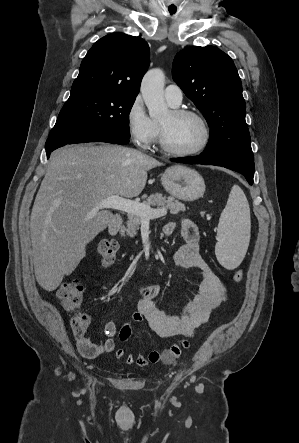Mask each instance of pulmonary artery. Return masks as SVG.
<instances>
[{
    "label": "pulmonary artery",
    "mask_w": 299,
    "mask_h": 443,
    "mask_svg": "<svg viewBox=\"0 0 299 443\" xmlns=\"http://www.w3.org/2000/svg\"><path fill=\"white\" fill-rule=\"evenodd\" d=\"M164 96L171 106L176 107L182 102L183 92L179 86L171 84L165 88Z\"/></svg>",
    "instance_id": "pulmonary-artery-1"
}]
</instances>
